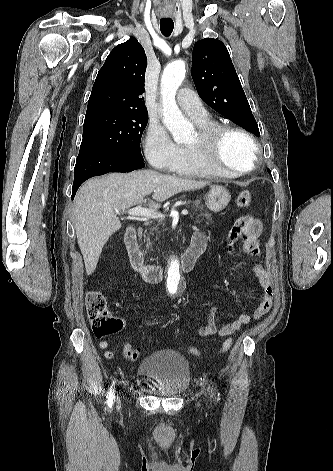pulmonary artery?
<instances>
[{"instance_id":"obj_1","label":"pulmonary artery","mask_w":333,"mask_h":471,"mask_svg":"<svg viewBox=\"0 0 333 471\" xmlns=\"http://www.w3.org/2000/svg\"><path fill=\"white\" fill-rule=\"evenodd\" d=\"M177 102L180 108L195 121L207 117V111L199 97L193 91L186 88L181 89L177 96Z\"/></svg>"}]
</instances>
